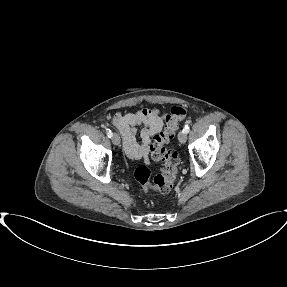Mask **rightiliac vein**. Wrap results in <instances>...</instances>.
Here are the masks:
<instances>
[{"mask_svg": "<svg viewBox=\"0 0 287 287\" xmlns=\"http://www.w3.org/2000/svg\"><path fill=\"white\" fill-rule=\"evenodd\" d=\"M112 142L114 145H119L120 144V137L117 133H114L112 135Z\"/></svg>", "mask_w": 287, "mask_h": 287, "instance_id": "63e3f726", "label": "right iliac vein"}]
</instances>
